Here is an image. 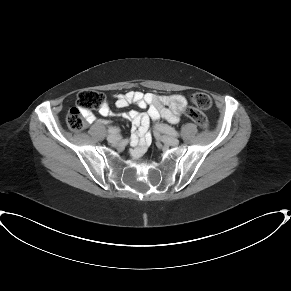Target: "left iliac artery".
I'll return each instance as SVG.
<instances>
[{
    "label": "left iliac artery",
    "instance_id": "1",
    "mask_svg": "<svg viewBox=\"0 0 291 291\" xmlns=\"http://www.w3.org/2000/svg\"><path fill=\"white\" fill-rule=\"evenodd\" d=\"M164 130L166 131V133L170 134V135H173V136H179V133L174 129L172 128L171 126H168V125H164Z\"/></svg>",
    "mask_w": 291,
    "mask_h": 291
}]
</instances>
